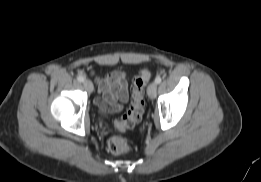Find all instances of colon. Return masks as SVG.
<instances>
[{"instance_id":"obj_1","label":"colon","mask_w":261,"mask_h":182,"mask_svg":"<svg viewBox=\"0 0 261 182\" xmlns=\"http://www.w3.org/2000/svg\"><path fill=\"white\" fill-rule=\"evenodd\" d=\"M151 77L150 70L148 68H142L138 71L133 78L131 84V102L126 114L115 123V127L124 131L131 129L138 124L144 114V92L147 83ZM108 150L115 154H125L130 150L128 142L119 136H112L107 142Z\"/></svg>"}]
</instances>
